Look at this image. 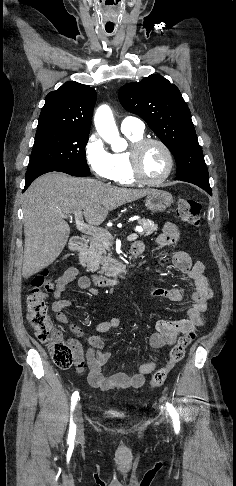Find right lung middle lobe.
<instances>
[{
    "label": "right lung middle lobe",
    "instance_id": "right-lung-middle-lobe-1",
    "mask_svg": "<svg viewBox=\"0 0 236 486\" xmlns=\"http://www.w3.org/2000/svg\"><path fill=\"white\" fill-rule=\"evenodd\" d=\"M89 132L37 129L27 169L52 166L90 171L85 154Z\"/></svg>",
    "mask_w": 236,
    "mask_h": 486
}]
</instances>
